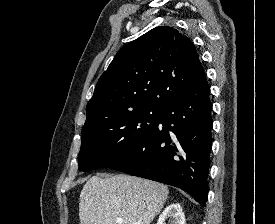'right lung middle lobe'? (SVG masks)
<instances>
[{
	"mask_svg": "<svg viewBox=\"0 0 275 224\" xmlns=\"http://www.w3.org/2000/svg\"><path fill=\"white\" fill-rule=\"evenodd\" d=\"M162 109L145 108L117 115L82 130L79 170L109 167L156 128Z\"/></svg>",
	"mask_w": 275,
	"mask_h": 224,
	"instance_id": "right-lung-middle-lobe-1",
	"label": "right lung middle lobe"
}]
</instances>
